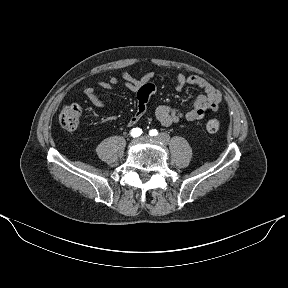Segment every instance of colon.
<instances>
[{"mask_svg": "<svg viewBox=\"0 0 288 288\" xmlns=\"http://www.w3.org/2000/svg\"><path fill=\"white\" fill-rule=\"evenodd\" d=\"M81 115L82 108L79 104H65L59 113V123L65 130H75L80 123ZM219 127L220 120L217 118L210 119L206 123V131L210 134L216 133Z\"/></svg>", "mask_w": 288, "mask_h": 288, "instance_id": "colon-1", "label": "colon"}]
</instances>
